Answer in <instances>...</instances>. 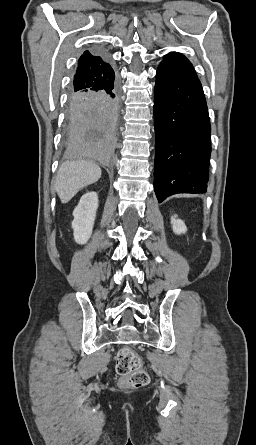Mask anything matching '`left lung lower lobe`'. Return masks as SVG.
<instances>
[{
    "instance_id": "0a47b994",
    "label": "left lung lower lobe",
    "mask_w": 256,
    "mask_h": 445,
    "mask_svg": "<svg viewBox=\"0 0 256 445\" xmlns=\"http://www.w3.org/2000/svg\"><path fill=\"white\" fill-rule=\"evenodd\" d=\"M154 190L159 203L177 193H205L211 153L210 121L201 83L167 63L154 91Z\"/></svg>"
}]
</instances>
